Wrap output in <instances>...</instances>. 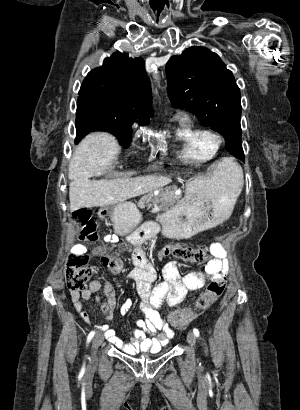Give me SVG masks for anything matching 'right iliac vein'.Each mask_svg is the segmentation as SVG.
<instances>
[{
	"instance_id": "obj_1",
	"label": "right iliac vein",
	"mask_w": 300,
	"mask_h": 410,
	"mask_svg": "<svg viewBox=\"0 0 300 410\" xmlns=\"http://www.w3.org/2000/svg\"><path fill=\"white\" fill-rule=\"evenodd\" d=\"M103 341V336L101 333H97L93 340H92V358L95 359L96 357V353H97V349L98 347L101 345Z\"/></svg>"
}]
</instances>
